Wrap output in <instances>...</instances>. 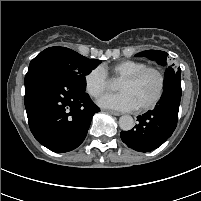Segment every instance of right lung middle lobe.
<instances>
[{
    "mask_svg": "<svg viewBox=\"0 0 201 201\" xmlns=\"http://www.w3.org/2000/svg\"><path fill=\"white\" fill-rule=\"evenodd\" d=\"M101 63L88 59L65 47H50L38 54L29 65V69L46 66L71 78L81 90L86 88L85 76Z\"/></svg>",
    "mask_w": 201,
    "mask_h": 201,
    "instance_id": "dd1d6c3e",
    "label": "right lung middle lobe"
}]
</instances>
